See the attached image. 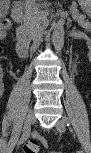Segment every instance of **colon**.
<instances>
[{
	"label": "colon",
	"instance_id": "1",
	"mask_svg": "<svg viewBox=\"0 0 91 153\" xmlns=\"http://www.w3.org/2000/svg\"><path fill=\"white\" fill-rule=\"evenodd\" d=\"M1 27L7 29L9 27L8 20L1 21ZM40 146H47V143L44 139H31L23 147L24 153H37Z\"/></svg>",
	"mask_w": 91,
	"mask_h": 153
}]
</instances>
